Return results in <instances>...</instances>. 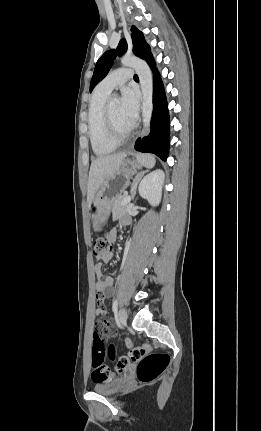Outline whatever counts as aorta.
<instances>
[{
    "instance_id": "1",
    "label": "aorta",
    "mask_w": 261,
    "mask_h": 431,
    "mask_svg": "<svg viewBox=\"0 0 261 431\" xmlns=\"http://www.w3.org/2000/svg\"><path fill=\"white\" fill-rule=\"evenodd\" d=\"M124 66L132 67L140 80L143 102H142V118L144 130H147L153 111V82L149 66L145 61L134 56H124L121 59ZM117 97L113 98L112 102L117 103Z\"/></svg>"
}]
</instances>
